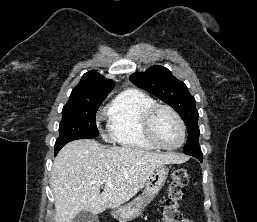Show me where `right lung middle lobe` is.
Here are the masks:
<instances>
[{
    "mask_svg": "<svg viewBox=\"0 0 257 222\" xmlns=\"http://www.w3.org/2000/svg\"><path fill=\"white\" fill-rule=\"evenodd\" d=\"M105 98H85L66 103L62 110L59 138L55 143V150H60L70 141L90 139L99 135L95 114Z\"/></svg>",
    "mask_w": 257,
    "mask_h": 222,
    "instance_id": "1",
    "label": "right lung middle lobe"
}]
</instances>
